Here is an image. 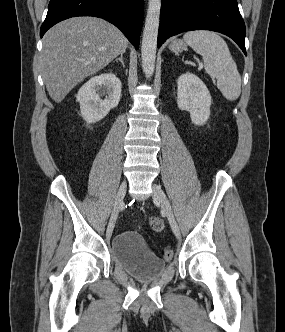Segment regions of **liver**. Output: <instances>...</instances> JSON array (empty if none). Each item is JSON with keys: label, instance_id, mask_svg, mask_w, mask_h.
Masks as SVG:
<instances>
[{"label": "liver", "instance_id": "obj_1", "mask_svg": "<svg viewBox=\"0 0 285 332\" xmlns=\"http://www.w3.org/2000/svg\"><path fill=\"white\" fill-rule=\"evenodd\" d=\"M128 41L111 23L96 17L64 20L43 37L41 65L50 97L61 102L86 77L123 54Z\"/></svg>", "mask_w": 285, "mask_h": 332}]
</instances>
